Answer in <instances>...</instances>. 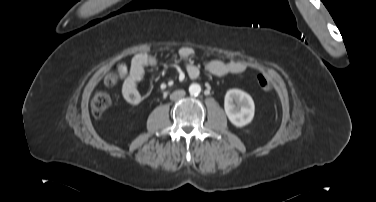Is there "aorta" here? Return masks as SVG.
<instances>
[{
	"label": "aorta",
	"mask_w": 376,
	"mask_h": 202,
	"mask_svg": "<svg viewBox=\"0 0 376 202\" xmlns=\"http://www.w3.org/2000/svg\"><path fill=\"white\" fill-rule=\"evenodd\" d=\"M201 92V86L197 83H192L190 86H189V93L191 95H194V96H197L199 95Z\"/></svg>",
	"instance_id": "762f6f07"
}]
</instances>
